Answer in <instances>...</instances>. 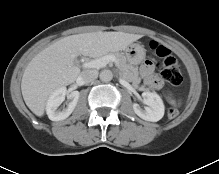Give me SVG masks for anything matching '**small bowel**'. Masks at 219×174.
<instances>
[{"label":"small bowel","mask_w":219,"mask_h":174,"mask_svg":"<svg viewBox=\"0 0 219 174\" xmlns=\"http://www.w3.org/2000/svg\"><path fill=\"white\" fill-rule=\"evenodd\" d=\"M141 75L144 78L147 85L152 89H160L162 87L161 79L155 73V67L152 61L146 60L141 66ZM175 104V100L170 101Z\"/></svg>","instance_id":"1"}]
</instances>
